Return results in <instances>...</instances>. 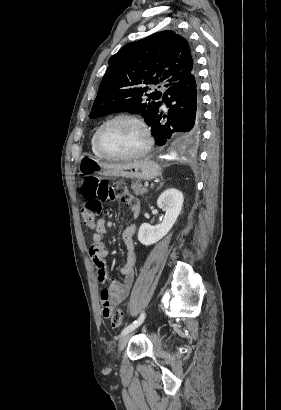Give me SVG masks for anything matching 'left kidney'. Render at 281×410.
Masks as SVG:
<instances>
[{
	"label": "left kidney",
	"instance_id": "obj_1",
	"mask_svg": "<svg viewBox=\"0 0 281 410\" xmlns=\"http://www.w3.org/2000/svg\"><path fill=\"white\" fill-rule=\"evenodd\" d=\"M183 202L182 192L175 188L165 190L157 200L158 207L165 211L164 219L156 226L143 223L138 231L140 243L149 246L162 239L175 224L182 210Z\"/></svg>",
	"mask_w": 281,
	"mask_h": 410
}]
</instances>
